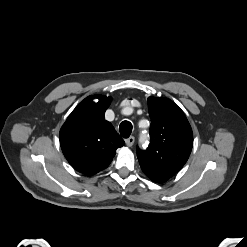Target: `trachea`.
Segmentation results:
<instances>
[{"mask_svg": "<svg viewBox=\"0 0 247 247\" xmlns=\"http://www.w3.org/2000/svg\"><path fill=\"white\" fill-rule=\"evenodd\" d=\"M119 130L123 138H128L132 132V124L129 121H123L120 124Z\"/></svg>", "mask_w": 247, "mask_h": 247, "instance_id": "3493384b", "label": "trachea"}]
</instances>
